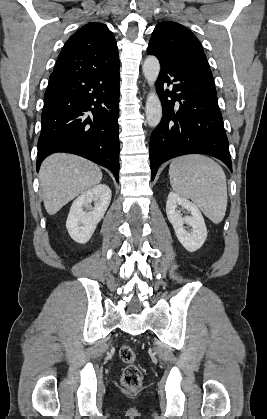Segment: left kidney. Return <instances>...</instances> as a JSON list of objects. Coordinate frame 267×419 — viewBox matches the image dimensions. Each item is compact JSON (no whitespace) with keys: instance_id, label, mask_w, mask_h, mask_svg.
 <instances>
[{"instance_id":"left-kidney-1","label":"left kidney","mask_w":267,"mask_h":419,"mask_svg":"<svg viewBox=\"0 0 267 419\" xmlns=\"http://www.w3.org/2000/svg\"><path fill=\"white\" fill-rule=\"evenodd\" d=\"M178 206L190 212L191 216L182 217L180 211L176 209ZM166 214L177 239L187 251L194 252L202 247L207 238V229L204 218L194 203L170 192L166 203ZM184 224L191 227V231H186Z\"/></svg>"}]
</instances>
